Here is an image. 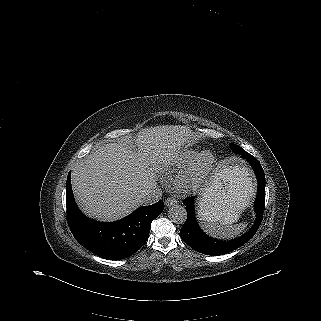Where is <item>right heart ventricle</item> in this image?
I'll return each mask as SVG.
<instances>
[{"label": "right heart ventricle", "instance_id": "right-heart-ventricle-1", "mask_svg": "<svg viewBox=\"0 0 321 321\" xmlns=\"http://www.w3.org/2000/svg\"><path fill=\"white\" fill-rule=\"evenodd\" d=\"M198 154L196 152H186L184 154H182L181 156H179L175 162H174V166L176 168L180 169H187L188 167H190L193 162L196 160Z\"/></svg>", "mask_w": 321, "mask_h": 321}]
</instances>
